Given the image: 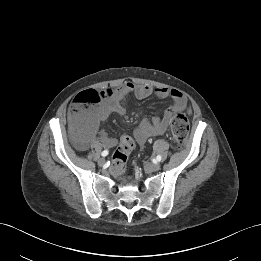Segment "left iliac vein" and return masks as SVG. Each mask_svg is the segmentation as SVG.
<instances>
[{"mask_svg":"<svg viewBox=\"0 0 261 261\" xmlns=\"http://www.w3.org/2000/svg\"><path fill=\"white\" fill-rule=\"evenodd\" d=\"M144 168L148 172H154L160 169V163H146Z\"/></svg>","mask_w":261,"mask_h":261,"instance_id":"1","label":"left iliac vein"}]
</instances>
